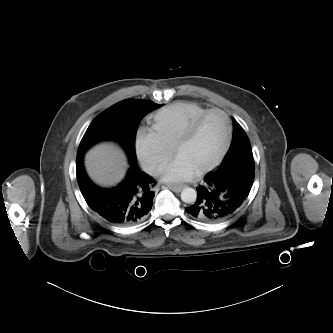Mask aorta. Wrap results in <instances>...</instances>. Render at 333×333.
I'll return each mask as SVG.
<instances>
[{"mask_svg": "<svg viewBox=\"0 0 333 333\" xmlns=\"http://www.w3.org/2000/svg\"><path fill=\"white\" fill-rule=\"evenodd\" d=\"M197 193L193 188H185L181 192V200L185 203H193L196 201Z\"/></svg>", "mask_w": 333, "mask_h": 333, "instance_id": "aorta-1", "label": "aorta"}]
</instances>
